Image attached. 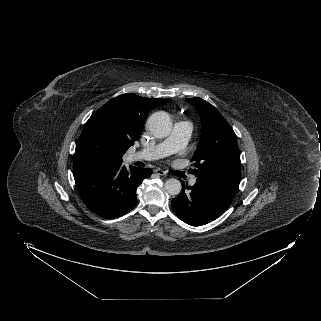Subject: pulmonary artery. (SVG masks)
I'll list each match as a JSON object with an SVG mask.
<instances>
[{
    "instance_id": "e3ab8cb5",
    "label": "pulmonary artery",
    "mask_w": 321,
    "mask_h": 321,
    "mask_svg": "<svg viewBox=\"0 0 321 321\" xmlns=\"http://www.w3.org/2000/svg\"><path fill=\"white\" fill-rule=\"evenodd\" d=\"M192 135V124L188 121H178L174 124L170 135L163 141L145 147L133 154L134 159L157 160L183 149ZM190 185L196 183V178L190 180Z\"/></svg>"
}]
</instances>
